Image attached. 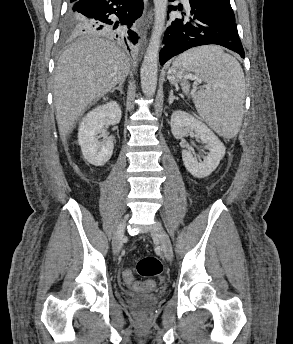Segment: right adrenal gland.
Masks as SVG:
<instances>
[{
    "label": "right adrenal gland",
    "mask_w": 293,
    "mask_h": 344,
    "mask_svg": "<svg viewBox=\"0 0 293 344\" xmlns=\"http://www.w3.org/2000/svg\"><path fill=\"white\" fill-rule=\"evenodd\" d=\"M123 83H124V82L119 83L118 87L112 89L110 92H111V93H114V91L119 90L121 94H124L123 89H122Z\"/></svg>",
    "instance_id": "right-adrenal-gland-1"
}]
</instances>
